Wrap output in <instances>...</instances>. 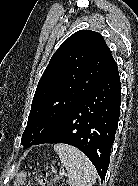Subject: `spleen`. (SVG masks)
Listing matches in <instances>:
<instances>
[{
    "instance_id": "1",
    "label": "spleen",
    "mask_w": 138,
    "mask_h": 186,
    "mask_svg": "<svg viewBox=\"0 0 138 186\" xmlns=\"http://www.w3.org/2000/svg\"><path fill=\"white\" fill-rule=\"evenodd\" d=\"M54 150L68 172V181L72 186H92L97 172L91 161L76 147L57 144Z\"/></svg>"
}]
</instances>
